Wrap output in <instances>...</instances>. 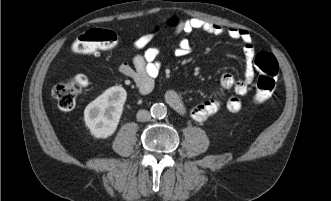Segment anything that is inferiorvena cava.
<instances>
[{"instance_id":"inferior-vena-cava-1","label":"inferior vena cava","mask_w":331,"mask_h":201,"mask_svg":"<svg viewBox=\"0 0 331 201\" xmlns=\"http://www.w3.org/2000/svg\"><path fill=\"white\" fill-rule=\"evenodd\" d=\"M137 120L140 122H146L149 121L151 119V114L148 110L145 109H141L137 112Z\"/></svg>"}]
</instances>
